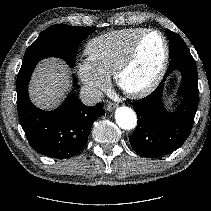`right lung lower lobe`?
<instances>
[{
    "instance_id": "obj_1",
    "label": "right lung lower lobe",
    "mask_w": 211,
    "mask_h": 211,
    "mask_svg": "<svg viewBox=\"0 0 211 211\" xmlns=\"http://www.w3.org/2000/svg\"><path fill=\"white\" fill-rule=\"evenodd\" d=\"M36 63L21 67L17 79L20 124L31 147L52 158L75 156L86 145L93 122L105 114L103 105L87 107L74 94L53 111L36 108L28 96V83ZM74 83H77L74 77Z\"/></svg>"
}]
</instances>
